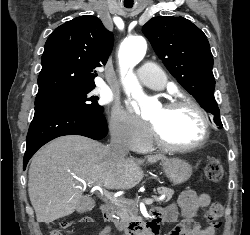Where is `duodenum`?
<instances>
[{
	"mask_svg": "<svg viewBox=\"0 0 250 235\" xmlns=\"http://www.w3.org/2000/svg\"><path fill=\"white\" fill-rule=\"evenodd\" d=\"M102 212L106 226L101 230L99 235H110L112 225L115 222L113 210L109 206H102ZM160 216L156 211H152L150 218L145 225L129 227L126 235H158Z\"/></svg>",
	"mask_w": 250,
	"mask_h": 235,
	"instance_id": "410a0bca",
	"label": "duodenum"
}]
</instances>
